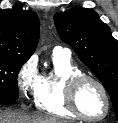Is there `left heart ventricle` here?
Listing matches in <instances>:
<instances>
[{
    "label": "left heart ventricle",
    "instance_id": "obj_1",
    "mask_svg": "<svg viewBox=\"0 0 118 123\" xmlns=\"http://www.w3.org/2000/svg\"><path fill=\"white\" fill-rule=\"evenodd\" d=\"M80 109L88 116L99 117L106 110L105 99L100 89L92 82H85L78 91Z\"/></svg>",
    "mask_w": 118,
    "mask_h": 123
}]
</instances>
